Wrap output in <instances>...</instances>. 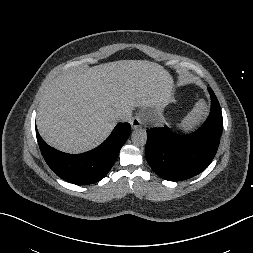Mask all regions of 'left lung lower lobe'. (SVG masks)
Returning a JSON list of instances; mask_svg holds the SVG:
<instances>
[{"label":"left lung lower lobe","instance_id":"0a47b994","mask_svg":"<svg viewBox=\"0 0 253 253\" xmlns=\"http://www.w3.org/2000/svg\"><path fill=\"white\" fill-rule=\"evenodd\" d=\"M211 114L196 132L178 135L168 127L147 130L146 160L153 171L163 179L181 181L204 171L213 160L223 129L219 102L212 89Z\"/></svg>","mask_w":253,"mask_h":253}]
</instances>
